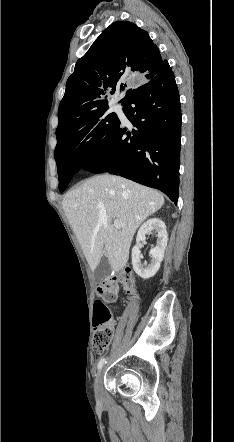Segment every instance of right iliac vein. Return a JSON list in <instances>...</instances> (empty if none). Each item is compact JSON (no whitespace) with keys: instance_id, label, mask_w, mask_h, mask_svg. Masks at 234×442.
I'll use <instances>...</instances> for the list:
<instances>
[{"instance_id":"right-iliac-vein-1","label":"right iliac vein","mask_w":234,"mask_h":442,"mask_svg":"<svg viewBox=\"0 0 234 442\" xmlns=\"http://www.w3.org/2000/svg\"><path fill=\"white\" fill-rule=\"evenodd\" d=\"M104 370H101L95 378L94 390L95 395L98 399L102 398L103 395V385H102V377Z\"/></svg>"}]
</instances>
